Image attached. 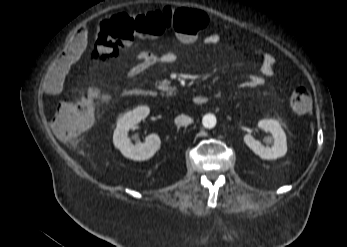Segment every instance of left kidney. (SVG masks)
Instances as JSON below:
<instances>
[{
  "label": "left kidney",
  "mask_w": 347,
  "mask_h": 247,
  "mask_svg": "<svg viewBox=\"0 0 347 247\" xmlns=\"http://www.w3.org/2000/svg\"><path fill=\"white\" fill-rule=\"evenodd\" d=\"M258 127L272 134V147L262 145L250 133L244 136L245 144L262 159L273 160L284 156L287 152V141L280 123L273 119H263L259 121Z\"/></svg>",
  "instance_id": "left-kidney-1"
}]
</instances>
